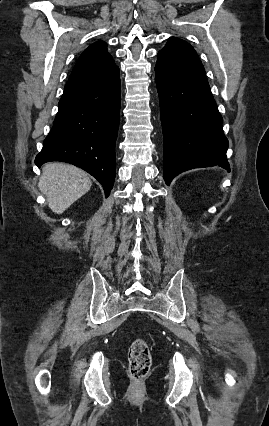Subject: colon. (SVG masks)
Wrapping results in <instances>:
<instances>
[{"instance_id":"1","label":"colon","mask_w":269,"mask_h":426,"mask_svg":"<svg viewBox=\"0 0 269 426\" xmlns=\"http://www.w3.org/2000/svg\"><path fill=\"white\" fill-rule=\"evenodd\" d=\"M129 371L135 382L142 381L149 373L152 364V355L148 343L137 338L130 346L129 353Z\"/></svg>"}]
</instances>
